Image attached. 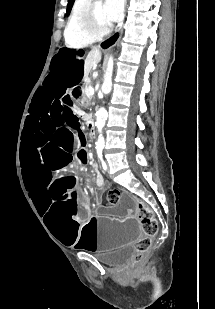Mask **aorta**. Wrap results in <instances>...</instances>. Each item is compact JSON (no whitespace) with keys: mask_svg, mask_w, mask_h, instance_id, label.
Masks as SVG:
<instances>
[{"mask_svg":"<svg viewBox=\"0 0 215 309\" xmlns=\"http://www.w3.org/2000/svg\"><path fill=\"white\" fill-rule=\"evenodd\" d=\"M103 0H97V4H102ZM113 56H109V60L107 62L106 72L104 74V82L102 84V92H110L112 88V74H113ZM108 116V112L104 106H101L99 110L96 112V126L99 132H102V128L105 124V120ZM105 140L103 134L99 136L97 140V148H104Z\"/></svg>","mask_w":215,"mask_h":309,"instance_id":"aorta-1","label":"aorta"}]
</instances>
